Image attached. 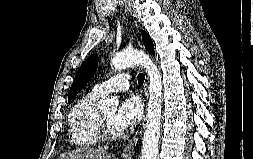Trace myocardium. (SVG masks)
<instances>
[{"mask_svg":"<svg viewBox=\"0 0 253 159\" xmlns=\"http://www.w3.org/2000/svg\"><path fill=\"white\" fill-rule=\"evenodd\" d=\"M98 135L100 141H114L118 137V134L109 128L101 113L98 116Z\"/></svg>","mask_w":253,"mask_h":159,"instance_id":"1","label":"myocardium"}]
</instances>
